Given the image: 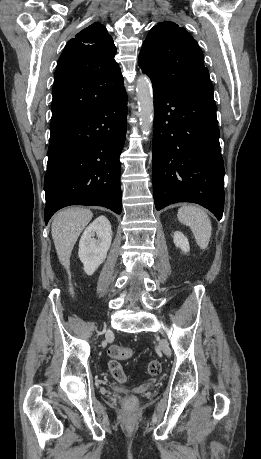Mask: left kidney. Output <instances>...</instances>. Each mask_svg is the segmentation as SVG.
Instances as JSON below:
<instances>
[{
	"mask_svg": "<svg viewBox=\"0 0 261 459\" xmlns=\"http://www.w3.org/2000/svg\"><path fill=\"white\" fill-rule=\"evenodd\" d=\"M173 241L176 247L180 248L183 252L187 253L190 250L188 239L183 233L176 231L174 233Z\"/></svg>",
	"mask_w": 261,
	"mask_h": 459,
	"instance_id": "left-kidney-1",
	"label": "left kidney"
}]
</instances>
